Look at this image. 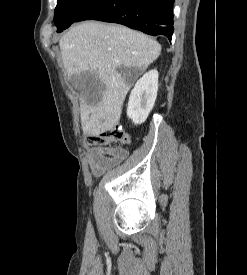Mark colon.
<instances>
[{"instance_id":"colon-1","label":"colon","mask_w":247,"mask_h":275,"mask_svg":"<svg viewBox=\"0 0 247 275\" xmlns=\"http://www.w3.org/2000/svg\"><path fill=\"white\" fill-rule=\"evenodd\" d=\"M129 142L125 131L119 127H113L101 134L88 135L85 138L87 146H105L111 144H127Z\"/></svg>"}]
</instances>
